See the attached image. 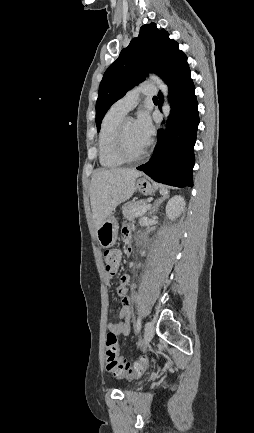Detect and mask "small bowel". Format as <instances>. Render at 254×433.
Instances as JSON below:
<instances>
[{
	"instance_id": "c3829d8e",
	"label": "small bowel",
	"mask_w": 254,
	"mask_h": 433,
	"mask_svg": "<svg viewBox=\"0 0 254 433\" xmlns=\"http://www.w3.org/2000/svg\"><path fill=\"white\" fill-rule=\"evenodd\" d=\"M123 236L127 241L131 238V229L128 225H125L122 230ZM113 275L107 274V281L112 278ZM130 282V275L124 274L120 278L119 286L117 288V294L121 298L122 306L118 311L116 322H107L106 328L109 332H113L116 335L128 336L130 334L129 319L131 316L130 300L128 298V284Z\"/></svg>"
}]
</instances>
